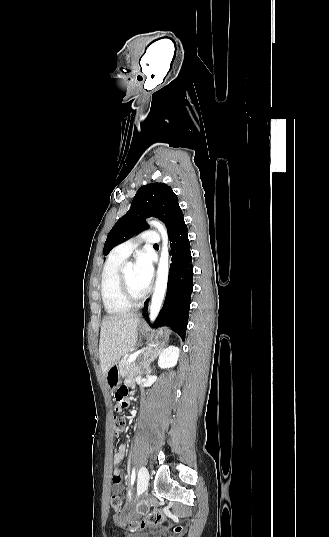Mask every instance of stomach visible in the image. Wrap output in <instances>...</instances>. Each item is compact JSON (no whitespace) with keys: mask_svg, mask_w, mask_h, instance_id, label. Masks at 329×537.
<instances>
[{"mask_svg":"<svg viewBox=\"0 0 329 537\" xmlns=\"http://www.w3.org/2000/svg\"><path fill=\"white\" fill-rule=\"evenodd\" d=\"M167 337V332L164 329H159L156 333V338L158 341L162 342ZM106 381L110 388H115V386L119 385L120 383V374H119V366L117 363L109 369V371L106 374Z\"/></svg>","mask_w":329,"mask_h":537,"instance_id":"obj_1","label":"stomach"}]
</instances>
